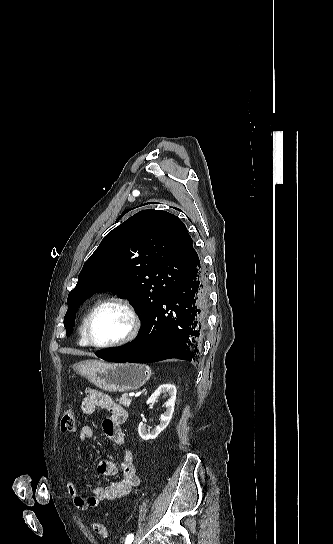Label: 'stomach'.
Masks as SVG:
<instances>
[{
    "instance_id": "1",
    "label": "stomach",
    "mask_w": 333,
    "mask_h": 544,
    "mask_svg": "<svg viewBox=\"0 0 333 544\" xmlns=\"http://www.w3.org/2000/svg\"><path fill=\"white\" fill-rule=\"evenodd\" d=\"M74 371L107 392H129L142 387L151 376L149 366L138 363H106L98 360L73 365Z\"/></svg>"
}]
</instances>
